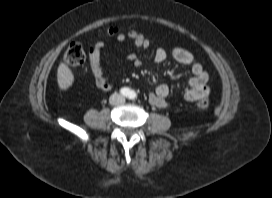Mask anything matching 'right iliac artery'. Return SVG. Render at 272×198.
Wrapping results in <instances>:
<instances>
[{
  "label": "right iliac artery",
  "instance_id": "right-iliac-artery-1",
  "mask_svg": "<svg viewBox=\"0 0 272 198\" xmlns=\"http://www.w3.org/2000/svg\"><path fill=\"white\" fill-rule=\"evenodd\" d=\"M120 92L123 96H128L130 94V90L126 87L122 88Z\"/></svg>",
  "mask_w": 272,
  "mask_h": 198
}]
</instances>
